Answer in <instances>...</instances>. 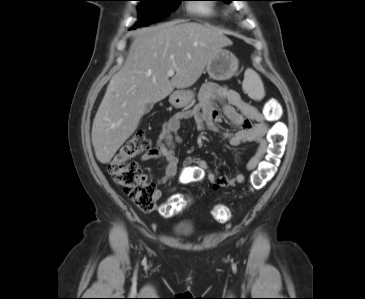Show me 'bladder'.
<instances>
[{"label": "bladder", "mask_w": 365, "mask_h": 299, "mask_svg": "<svg viewBox=\"0 0 365 299\" xmlns=\"http://www.w3.org/2000/svg\"><path fill=\"white\" fill-rule=\"evenodd\" d=\"M196 229V225L192 221H182L174 225L173 232L177 236H188Z\"/></svg>", "instance_id": "1"}]
</instances>
